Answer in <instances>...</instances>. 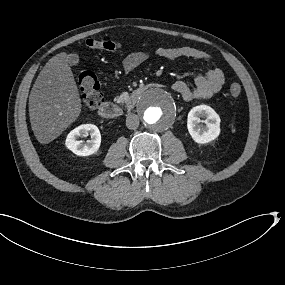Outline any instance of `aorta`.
I'll return each mask as SVG.
<instances>
[{"label": "aorta", "instance_id": "obj_1", "mask_svg": "<svg viewBox=\"0 0 285 285\" xmlns=\"http://www.w3.org/2000/svg\"><path fill=\"white\" fill-rule=\"evenodd\" d=\"M133 110L141 125L150 130L160 131L169 128L176 121L179 107L170 90L153 85L138 93Z\"/></svg>", "mask_w": 285, "mask_h": 285}]
</instances>
